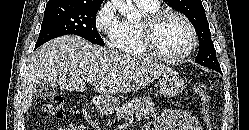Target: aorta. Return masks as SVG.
I'll return each mask as SVG.
<instances>
[{"label": "aorta", "mask_w": 249, "mask_h": 130, "mask_svg": "<svg viewBox=\"0 0 249 130\" xmlns=\"http://www.w3.org/2000/svg\"><path fill=\"white\" fill-rule=\"evenodd\" d=\"M119 13L126 16L127 19L133 20L139 16L138 10L134 7L130 0H112Z\"/></svg>", "instance_id": "aorta-1"}]
</instances>
